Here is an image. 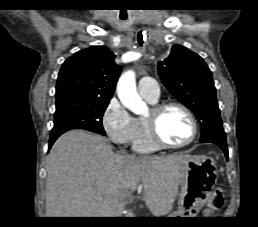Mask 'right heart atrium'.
I'll return each mask as SVG.
<instances>
[{
    "label": "right heart atrium",
    "mask_w": 258,
    "mask_h": 227,
    "mask_svg": "<svg viewBox=\"0 0 258 227\" xmlns=\"http://www.w3.org/2000/svg\"><path fill=\"white\" fill-rule=\"evenodd\" d=\"M102 127L117 145L132 144L138 131L136 119L117 99L108 103L102 116Z\"/></svg>",
    "instance_id": "d8ad5b80"
}]
</instances>
